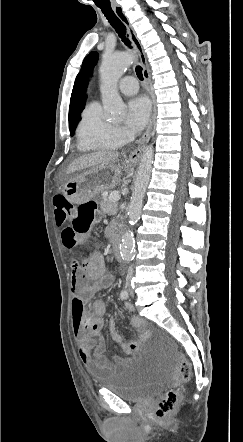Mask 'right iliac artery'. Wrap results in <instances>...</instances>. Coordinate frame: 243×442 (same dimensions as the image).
<instances>
[{"label": "right iliac artery", "mask_w": 243, "mask_h": 442, "mask_svg": "<svg viewBox=\"0 0 243 442\" xmlns=\"http://www.w3.org/2000/svg\"><path fill=\"white\" fill-rule=\"evenodd\" d=\"M128 296H129V294L126 289L121 291L120 297L122 300H126L128 298Z\"/></svg>", "instance_id": "obj_1"}]
</instances>
